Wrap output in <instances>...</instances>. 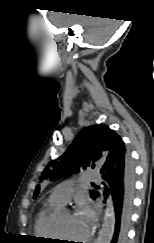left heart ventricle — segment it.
<instances>
[{
  "mask_svg": "<svg viewBox=\"0 0 154 243\" xmlns=\"http://www.w3.org/2000/svg\"><path fill=\"white\" fill-rule=\"evenodd\" d=\"M62 234L69 239L79 240L87 237V233L81 224L77 223L70 214L64 215L57 220ZM74 243V241H68Z\"/></svg>",
  "mask_w": 154,
  "mask_h": 243,
  "instance_id": "b2bd125f",
  "label": "left heart ventricle"
}]
</instances>
